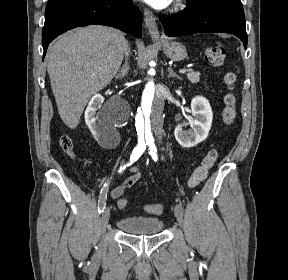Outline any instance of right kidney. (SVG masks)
Listing matches in <instances>:
<instances>
[{"instance_id": "1", "label": "right kidney", "mask_w": 288, "mask_h": 280, "mask_svg": "<svg viewBox=\"0 0 288 280\" xmlns=\"http://www.w3.org/2000/svg\"><path fill=\"white\" fill-rule=\"evenodd\" d=\"M103 102L104 98L100 94H96L91 98L85 111V122L98 144L108 148L111 146L116 132L111 125H107L104 113L96 114L97 109L101 107Z\"/></svg>"}]
</instances>
